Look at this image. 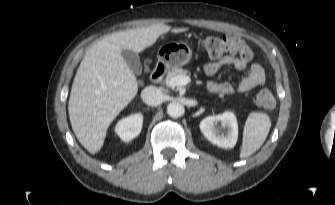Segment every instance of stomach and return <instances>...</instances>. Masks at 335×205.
<instances>
[{"instance_id": "0dacf381", "label": "stomach", "mask_w": 335, "mask_h": 205, "mask_svg": "<svg viewBox=\"0 0 335 205\" xmlns=\"http://www.w3.org/2000/svg\"><path fill=\"white\" fill-rule=\"evenodd\" d=\"M157 56L167 67H181L190 61L192 51L185 43L171 42L161 46Z\"/></svg>"}]
</instances>
